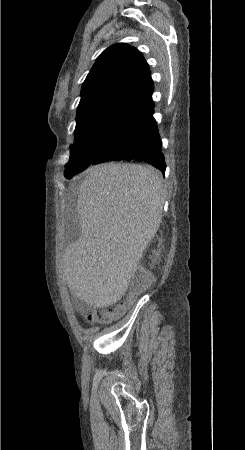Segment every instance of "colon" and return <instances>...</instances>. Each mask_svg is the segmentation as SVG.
Returning <instances> with one entry per match:
<instances>
[{
    "instance_id": "5ec220e1",
    "label": "colon",
    "mask_w": 245,
    "mask_h": 450,
    "mask_svg": "<svg viewBox=\"0 0 245 450\" xmlns=\"http://www.w3.org/2000/svg\"><path fill=\"white\" fill-rule=\"evenodd\" d=\"M148 287L146 276L141 271H136L129 282L125 298L119 303L116 309L96 311L92 315V322H107L117 318L123 309L128 308L136 296L142 293Z\"/></svg>"
}]
</instances>
